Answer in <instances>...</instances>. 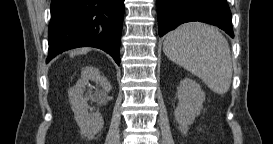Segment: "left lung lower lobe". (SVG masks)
Wrapping results in <instances>:
<instances>
[{"label": "left lung lower lobe", "mask_w": 273, "mask_h": 144, "mask_svg": "<svg viewBox=\"0 0 273 144\" xmlns=\"http://www.w3.org/2000/svg\"><path fill=\"white\" fill-rule=\"evenodd\" d=\"M157 10L159 36L185 22L200 21L218 26L234 37L226 0H157Z\"/></svg>", "instance_id": "1"}]
</instances>
